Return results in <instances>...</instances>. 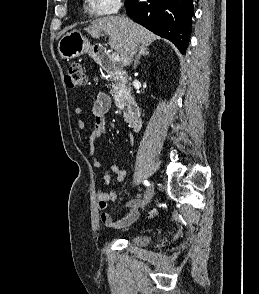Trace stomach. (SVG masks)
<instances>
[{
	"label": "stomach",
	"mask_w": 259,
	"mask_h": 294,
	"mask_svg": "<svg viewBox=\"0 0 259 294\" xmlns=\"http://www.w3.org/2000/svg\"><path fill=\"white\" fill-rule=\"evenodd\" d=\"M58 51L62 58L72 59L90 53V44L80 31L73 30L62 36L58 43Z\"/></svg>",
	"instance_id": "obj_1"
}]
</instances>
